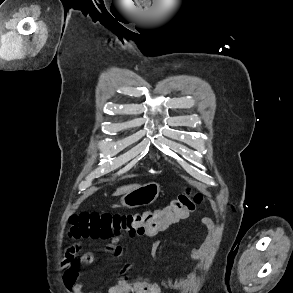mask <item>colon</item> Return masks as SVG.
I'll list each match as a JSON object with an SVG mask.
<instances>
[{
	"label": "colon",
	"instance_id": "1",
	"mask_svg": "<svg viewBox=\"0 0 293 293\" xmlns=\"http://www.w3.org/2000/svg\"><path fill=\"white\" fill-rule=\"evenodd\" d=\"M201 195L191 189L180 194L167 206L138 213L112 214L81 211L69 217V235L73 238L110 239L121 233L140 234L163 229L186 217L199 203ZM140 293H151L153 289L143 287Z\"/></svg>",
	"mask_w": 293,
	"mask_h": 293
}]
</instances>
